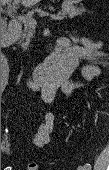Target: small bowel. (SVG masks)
<instances>
[{
  "instance_id": "c3829d8e",
  "label": "small bowel",
  "mask_w": 109,
  "mask_h": 170,
  "mask_svg": "<svg viewBox=\"0 0 109 170\" xmlns=\"http://www.w3.org/2000/svg\"><path fill=\"white\" fill-rule=\"evenodd\" d=\"M80 43L87 47H96L98 45L97 43L89 42L86 40H80ZM94 76H95L94 68H91L90 70L87 71L86 77L88 80H91ZM43 95L46 101H49L52 97L51 92H49L48 90L44 91ZM53 125H54V116L52 113H47L45 115L43 123L40 125L37 133L35 134L34 137L35 145L39 147H43L49 142Z\"/></svg>"
}]
</instances>
